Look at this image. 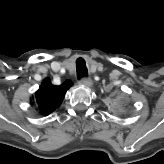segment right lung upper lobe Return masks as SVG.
Masks as SVG:
<instances>
[{
  "label": "right lung upper lobe",
  "mask_w": 164,
  "mask_h": 164,
  "mask_svg": "<svg viewBox=\"0 0 164 164\" xmlns=\"http://www.w3.org/2000/svg\"><path fill=\"white\" fill-rule=\"evenodd\" d=\"M71 86L72 84L69 81L60 86H54L51 84V81L46 78L35 93L34 103L41 113L47 114L61 104L66 90Z\"/></svg>",
  "instance_id": "1"
}]
</instances>
